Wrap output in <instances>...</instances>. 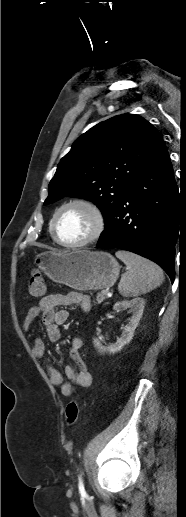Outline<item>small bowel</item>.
Listing matches in <instances>:
<instances>
[{
	"label": "small bowel",
	"mask_w": 186,
	"mask_h": 517,
	"mask_svg": "<svg viewBox=\"0 0 186 517\" xmlns=\"http://www.w3.org/2000/svg\"><path fill=\"white\" fill-rule=\"evenodd\" d=\"M72 305H80L84 311H89L91 301L88 295L80 292L47 295L37 305L32 306L28 310L23 322V329L29 331L32 324L41 316L49 341L52 343L58 342L61 338L59 326L64 324L69 318V312L66 309H58V307ZM82 346L83 339L80 336H74L69 347V354L79 370L76 371L74 367L67 365L64 368L66 380L54 367L50 365L46 367L50 383L53 386L59 387L64 396H71L74 393L75 386L88 388L92 385V374L79 354ZM32 349L36 357L42 358L46 352L43 339L40 337L35 338Z\"/></svg>",
	"instance_id": "c3829d8e"
}]
</instances>
